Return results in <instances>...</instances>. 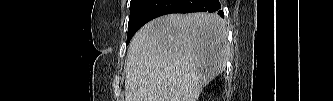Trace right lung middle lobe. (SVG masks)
Wrapping results in <instances>:
<instances>
[{
	"mask_svg": "<svg viewBox=\"0 0 333 101\" xmlns=\"http://www.w3.org/2000/svg\"><path fill=\"white\" fill-rule=\"evenodd\" d=\"M142 1L143 0H131L130 2V17L128 23L127 44L130 42L131 38L133 37L132 21Z\"/></svg>",
	"mask_w": 333,
	"mask_h": 101,
	"instance_id": "1",
	"label": "right lung middle lobe"
}]
</instances>
